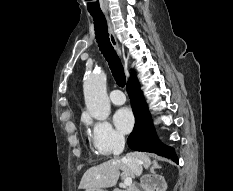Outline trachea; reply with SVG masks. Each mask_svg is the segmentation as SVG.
<instances>
[{
	"label": "trachea",
	"mask_w": 233,
	"mask_h": 191,
	"mask_svg": "<svg viewBox=\"0 0 233 191\" xmlns=\"http://www.w3.org/2000/svg\"><path fill=\"white\" fill-rule=\"evenodd\" d=\"M94 25H95V35L98 43V47L108 62L111 72L114 76L115 81L121 87H124L126 83V77L124 74V69L120 58L118 57L114 47L112 46L108 26L103 14H92Z\"/></svg>",
	"instance_id": "trachea-1"
}]
</instances>
